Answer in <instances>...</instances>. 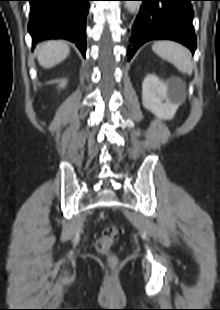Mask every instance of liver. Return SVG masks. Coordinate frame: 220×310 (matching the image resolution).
<instances>
[{"label":"liver","instance_id":"1","mask_svg":"<svg viewBox=\"0 0 220 310\" xmlns=\"http://www.w3.org/2000/svg\"><path fill=\"white\" fill-rule=\"evenodd\" d=\"M70 49L62 41H46L36 47L35 53L39 64L44 68H51L67 58Z\"/></svg>","mask_w":220,"mask_h":310}]
</instances>
